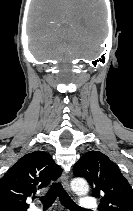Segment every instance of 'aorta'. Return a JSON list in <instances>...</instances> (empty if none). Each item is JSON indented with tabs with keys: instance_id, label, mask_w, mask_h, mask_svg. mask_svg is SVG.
Listing matches in <instances>:
<instances>
[{
	"instance_id": "obj_1",
	"label": "aorta",
	"mask_w": 133,
	"mask_h": 211,
	"mask_svg": "<svg viewBox=\"0 0 133 211\" xmlns=\"http://www.w3.org/2000/svg\"><path fill=\"white\" fill-rule=\"evenodd\" d=\"M72 190L79 196L87 195L89 191V185L83 178H75L71 181Z\"/></svg>"
}]
</instances>
